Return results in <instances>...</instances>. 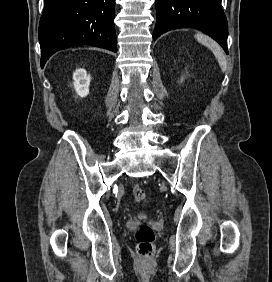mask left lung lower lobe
Masks as SVG:
<instances>
[{"label": "left lung lower lobe", "mask_w": 272, "mask_h": 282, "mask_svg": "<svg viewBox=\"0 0 272 282\" xmlns=\"http://www.w3.org/2000/svg\"><path fill=\"white\" fill-rule=\"evenodd\" d=\"M155 40L181 27H195L216 40L228 54V25L221 0H156Z\"/></svg>", "instance_id": "0a47b994"}]
</instances>
